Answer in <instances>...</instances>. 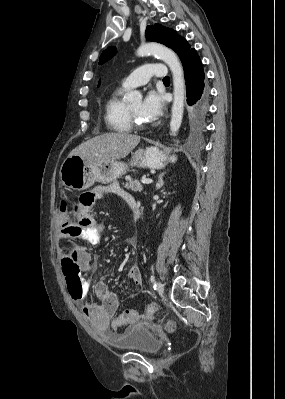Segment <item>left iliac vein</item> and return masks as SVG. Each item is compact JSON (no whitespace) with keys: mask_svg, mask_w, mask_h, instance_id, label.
I'll return each mask as SVG.
<instances>
[{"mask_svg":"<svg viewBox=\"0 0 285 399\" xmlns=\"http://www.w3.org/2000/svg\"><path fill=\"white\" fill-rule=\"evenodd\" d=\"M157 291H158V293H159L160 295H163V294H164V286H163V284H162L161 282H158V283H157Z\"/></svg>","mask_w":285,"mask_h":399,"instance_id":"obj_1","label":"left iliac vein"}]
</instances>
